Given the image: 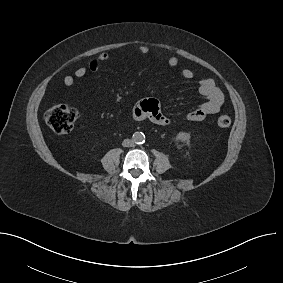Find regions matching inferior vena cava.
Returning <instances> with one entry per match:
<instances>
[{"instance_id":"602c4592","label":"inferior vena cava","mask_w":283,"mask_h":283,"mask_svg":"<svg viewBox=\"0 0 283 283\" xmlns=\"http://www.w3.org/2000/svg\"><path fill=\"white\" fill-rule=\"evenodd\" d=\"M124 147H132L134 146V142L131 139H125L122 143Z\"/></svg>"}]
</instances>
